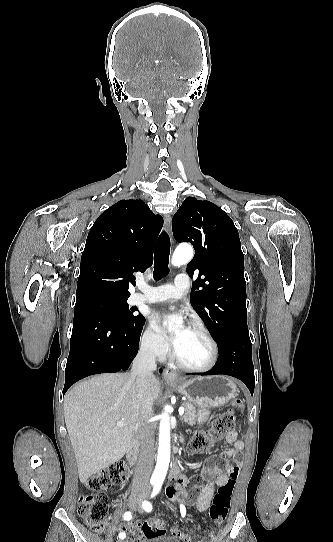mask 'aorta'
Masks as SVG:
<instances>
[{
    "instance_id": "obj_1",
    "label": "aorta",
    "mask_w": 333,
    "mask_h": 542,
    "mask_svg": "<svg viewBox=\"0 0 333 542\" xmlns=\"http://www.w3.org/2000/svg\"><path fill=\"white\" fill-rule=\"evenodd\" d=\"M192 256L193 250L191 246H187L185 250L179 248V252H174L171 264L172 266H183V264H187L191 260ZM168 408L170 406H165L164 412L160 416L158 458L151 478L154 488H161L170 462V418Z\"/></svg>"
}]
</instances>
